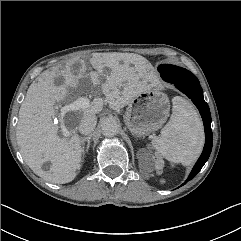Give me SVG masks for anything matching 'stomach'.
Segmentation results:
<instances>
[{
  "label": "stomach",
  "instance_id": "obj_1",
  "mask_svg": "<svg viewBox=\"0 0 241 241\" xmlns=\"http://www.w3.org/2000/svg\"><path fill=\"white\" fill-rule=\"evenodd\" d=\"M169 99L156 89H149L132 99L124 114V122L137 136L149 135L160 129L169 116Z\"/></svg>",
  "mask_w": 241,
  "mask_h": 241
}]
</instances>
